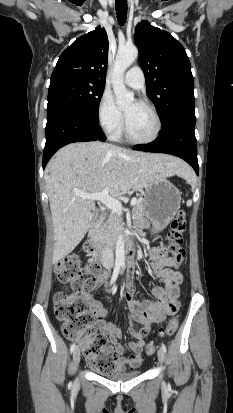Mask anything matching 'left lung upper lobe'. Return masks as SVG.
Segmentation results:
<instances>
[{
  "mask_svg": "<svg viewBox=\"0 0 233 413\" xmlns=\"http://www.w3.org/2000/svg\"><path fill=\"white\" fill-rule=\"evenodd\" d=\"M135 41L146 88L162 125L179 116L195 119L194 81L184 47L147 21L136 26Z\"/></svg>",
  "mask_w": 233,
  "mask_h": 413,
  "instance_id": "left-lung-upper-lobe-1",
  "label": "left lung upper lobe"
}]
</instances>
